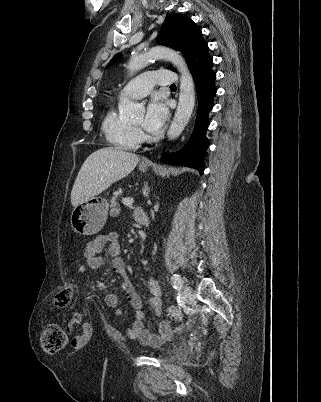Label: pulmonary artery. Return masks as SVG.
Returning <instances> with one entry per match:
<instances>
[{"instance_id": "pulmonary-artery-1", "label": "pulmonary artery", "mask_w": 321, "mask_h": 402, "mask_svg": "<svg viewBox=\"0 0 321 402\" xmlns=\"http://www.w3.org/2000/svg\"><path fill=\"white\" fill-rule=\"evenodd\" d=\"M176 82H178L177 75L168 69L145 72L123 87L120 96L122 98H141L148 95L156 85L168 86Z\"/></svg>"}]
</instances>
